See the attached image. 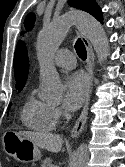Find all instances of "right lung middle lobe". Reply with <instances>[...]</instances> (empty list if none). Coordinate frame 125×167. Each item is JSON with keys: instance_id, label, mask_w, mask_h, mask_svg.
Returning a JSON list of instances; mask_svg holds the SVG:
<instances>
[{"instance_id": "obj_1", "label": "right lung middle lobe", "mask_w": 125, "mask_h": 167, "mask_svg": "<svg viewBox=\"0 0 125 167\" xmlns=\"http://www.w3.org/2000/svg\"><path fill=\"white\" fill-rule=\"evenodd\" d=\"M23 87H16L17 90L21 91ZM11 105V104H10ZM9 105V107H10Z\"/></svg>"}]
</instances>
